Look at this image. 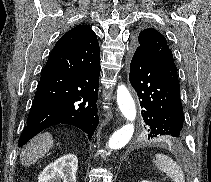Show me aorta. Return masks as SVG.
I'll return each instance as SVG.
<instances>
[{"mask_svg": "<svg viewBox=\"0 0 211 182\" xmlns=\"http://www.w3.org/2000/svg\"><path fill=\"white\" fill-rule=\"evenodd\" d=\"M117 104L123 116L130 122L119 128L110 137L108 148L118 150L123 148L132 138L134 132V120L136 118V107L134 100L125 85L117 88Z\"/></svg>", "mask_w": 211, "mask_h": 182, "instance_id": "aorta-1", "label": "aorta"}]
</instances>
